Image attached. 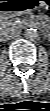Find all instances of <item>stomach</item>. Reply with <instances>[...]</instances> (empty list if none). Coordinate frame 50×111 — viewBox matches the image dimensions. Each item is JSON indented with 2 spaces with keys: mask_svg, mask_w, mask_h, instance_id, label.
<instances>
[{
  "mask_svg": "<svg viewBox=\"0 0 50 111\" xmlns=\"http://www.w3.org/2000/svg\"><path fill=\"white\" fill-rule=\"evenodd\" d=\"M43 4V0H6L0 7L6 16H20L35 11Z\"/></svg>",
  "mask_w": 50,
  "mask_h": 111,
  "instance_id": "stomach-1",
  "label": "stomach"
}]
</instances>
